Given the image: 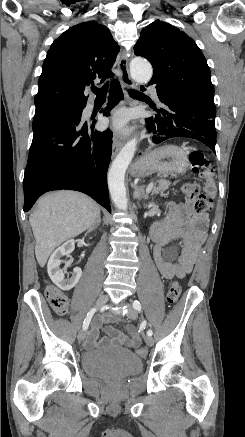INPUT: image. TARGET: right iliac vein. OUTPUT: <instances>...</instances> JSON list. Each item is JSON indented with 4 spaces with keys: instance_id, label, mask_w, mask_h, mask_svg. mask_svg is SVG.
<instances>
[{
    "instance_id": "obj_1",
    "label": "right iliac vein",
    "mask_w": 245,
    "mask_h": 437,
    "mask_svg": "<svg viewBox=\"0 0 245 437\" xmlns=\"http://www.w3.org/2000/svg\"><path fill=\"white\" fill-rule=\"evenodd\" d=\"M108 299H109L108 295H101V296L97 299L96 307H101V306H103L104 304L107 303ZM84 339H85V332H84V330H80L79 333H78V340L81 342V341H83Z\"/></svg>"
}]
</instances>
